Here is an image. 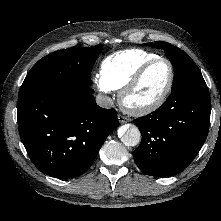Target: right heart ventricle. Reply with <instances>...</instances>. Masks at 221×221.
Here are the masks:
<instances>
[{
  "mask_svg": "<svg viewBox=\"0 0 221 221\" xmlns=\"http://www.w3.org/2000/svg\"><path fill=\"white\" fill-rule=\"evenodd\" d=\"M156 57L142 49L115 52L101 62L100 76L111 90H121L143 64Z\"/></svg>",
  "mask_w": 221,
  "mask_h": 221,
  "instance_id": "e07e8e85",
  "label": "right heart ventricle"
}]
</instances>
